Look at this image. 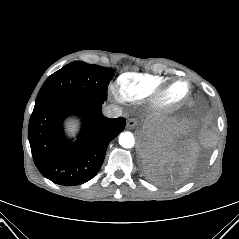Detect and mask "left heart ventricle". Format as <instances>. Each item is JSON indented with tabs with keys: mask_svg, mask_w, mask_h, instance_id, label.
Here are the masks:
<instances>
[{
	"mask_svg": "<svg viewBox=\"0 0 239 239\" xmlns=\"http://www.w3.org/2000/svg\"><path fill=\"white\" fill-rule=\"evenodd\" d=\"M185 92L186 89L184 85H177L170 90L167 98L170 102H175L181 99L184 96Z\"/></svg>",
	"mask_w": 239,
	"mask_h": 239,
	"instance_id": "left-heart-ventricle-1",
	"label": "left heart ventricle"
}]
</instances>
